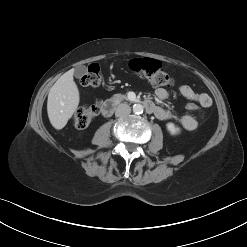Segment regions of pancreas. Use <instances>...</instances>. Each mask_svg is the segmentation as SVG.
I'll use <instances>...</instances> for the list:
<instances>
[{
  "label": "pancreas",
  "instance_id": "obj_1",
  "mask_svg": "<svg viewBox=\"0 0 247 247\" xmlns=\"http://www.w3.org/2000/svg\"><path fill=\"white\" fill-rule=\"evenodd\" d=\"M112 99L115 101V102H121L123 101L124 99H127L126 95H123V94H115L113 95Z\"/></svg>",
  "mask_w": 247,
  "mask_h": 247
}]
</instances>
